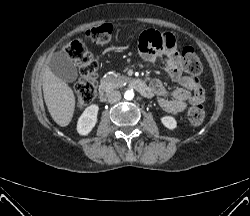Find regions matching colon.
<instances>
[{"label": "colon", "mask_w": 250, "mask_h": 216, "mask_svg": "<svg viewBox=\"0 0 250 216\" xmlns=\"http://www.w3.org/2000/svg\"><path fill=\"white\" fill-rule=\"evenodd\" d=\"M86 39L91 43L104 46L110 43L116 36L111 25H102L86 32ZM64 52L79 66L81 79L76 86V99L79 107L89 105L96 96L97 81L96 72L98 63L86 46L79 41H72L65 45ZM179 64L185 74L196 76L202 71V64L191 47H185L179 56ZM205 118V110L202 102L192 105L188 112V119L193 125H200Z\"/></svg>", "instance_id": "colon-1"}]
</instances>
